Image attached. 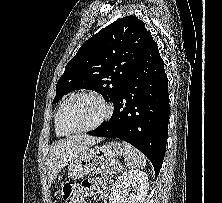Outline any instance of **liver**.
I'll return each mask as SVG.
<instances>
[{
    "instance_id": "6515ba94",
    "label": "liver",
    "mask_w": 222,
    "mask_h": 203,
    "mask_svg": "<svg viewBox=\"0 0 222 203\" xmlns=\"http://www.w3.org/2000/svg\"><path fill=\"white\" fill-rule=\"evenodd\" d=\"M101 139L88 135L71 136L52 144L49 151L48 175L53 182L58 173L81 151L100 142Z\"/></svg>"
}]
</instances>
